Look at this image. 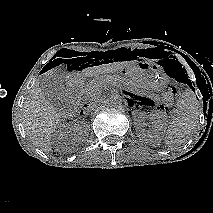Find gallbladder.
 <instances>
[{
	"label": "gallbladder",
	"instance_id": "gallbladder-1",
	"mask_svg": "<svg viewBox=\"0 0 213 213\" xmlns=\"http://www.w3.org/2000/svg\"><path fill=\"white\" fill-rule=\"evenodd\" d=\"M39 85L45 98L58 112H66L71 108L63 80L59 75H44L39 79Z\"/></svg>",
	"mask_w": 213,
	"mask_h": 213
}]
</instances>
